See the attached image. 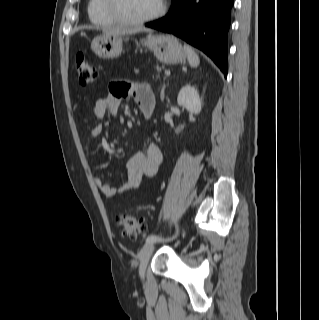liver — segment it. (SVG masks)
<instances>
[{
  "label": "liver",
  "instance_id": "1",
  "mask_svg": "<svg viewBox=\"0 0 319 320\" xmlns=\"http://www.w3.org/2000/svg\"><path fill=\"white\" fill-rule=\"evenodd\" d=\"M140 31H150V30H146L144 28H109V29H105L104 33L108 34V35H125V34H133V33H137Z\"/></svg>",
  "mask_w": 319,
  "mask_h": 320
}]
</instances>
